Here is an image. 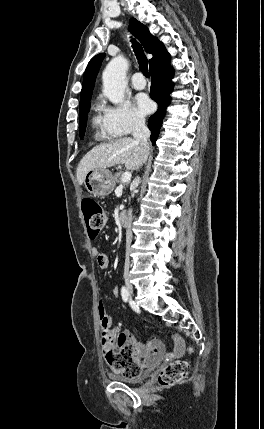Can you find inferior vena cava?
I'll return each instance as SVG.
<instances>
[{
  "label": "inferior vena cava",
  "mask_w": 264,
  "mask_h": 429,
  "mask_svg": "<svg viewBox=\"0 0 264 429\" xmlns=\"http://www.w3.org/2000/svg\"><path fill=\"white\" fill-rule=\"evenodd\" d=\"M132 135L135 139L136 142L139 143L144 155H145V159L148 156V152H149V142L148 139L150 137V131L149 129L146 127L145 125V119L142 117H137L134 119L133 122V129H132ZM142 165V164H141ZM140 178L137 177L136 181L139 182ZM135 214L131 213L130 216H128V224H127V229H126V235H127V240H126V244H125V249H130V245H131V240H132V228L134 227V221H135ZM125 255H126V259H125V270H128L130 267V260H129V255H130V251L126 250L125 251Z\"/></svg>",
  "instance_id": "obj_1"
}]
</instances>
